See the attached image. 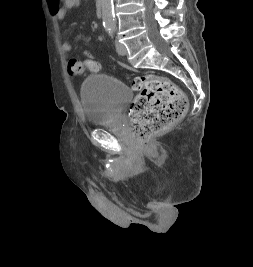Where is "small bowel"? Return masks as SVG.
I'll return each instance as SVG.
<instances>
[{
  "label": "small bowel",
  "instance_id": "small-bowel-1",
  "mask_svg": "<svg viewBox=\"0 0 253 267\" xmlns=\"http://www.w3.org/2000/svg\"><path fill=\"white\" fill-rule=\"evenodd\" d=\"M81 0H47L50 12L55 16L58 22H63L69 10L79 7ZM63 52L68 53L72 50V45L68 41L61 44Z\"/></svg>",
  "mask_w": 253,
  "mask_h": 267
}]
</instances>
